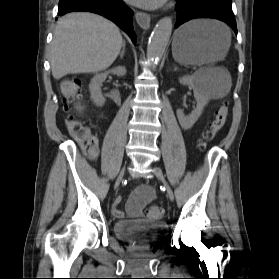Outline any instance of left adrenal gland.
<instances>
[{
    "mask_svg": "<svg viewBox=\"0 0 279 279\" xmlns=\"http://www.w3.org/2000/svg\"><path fill=\"white\" fill-rule=\"evenodd\" d=\"M178 68L176 66H174V71H176Z\"/></svg>",
    "mask_w": 279,
    "mask_h": 279,
    "instance_id": "obj_1",
    "label": "left adrenal gland"
}]
</instances>
